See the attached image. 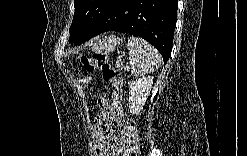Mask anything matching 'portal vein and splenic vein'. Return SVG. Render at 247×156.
Here are the masks:
<instances>
[{"instance_id": "portal-vein-and-splenic-vein-1", "label": "portal vein and splenic vein", "mask_w": 247, "mask_h": 156, "mask_svg": "<svg viewBox=\"0 0 247 156\" xmlns=\"http://www.w3.org/2000/svg\"><path fill=\"white\" fill-rule=\"evenodd\" d=\"M125 69H127V70H128V69H129V66H126V67H125Z\"/></svg>"}]
</instances>
